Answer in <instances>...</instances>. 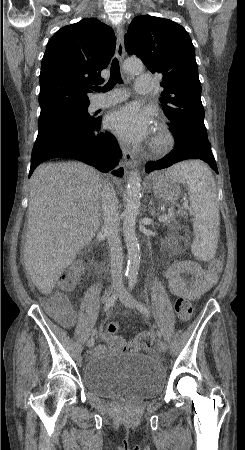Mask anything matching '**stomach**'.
Segmentation results:
<instances>
[{"instance_id": "1", "label": "stomach", "mask_w": 245, "mask_h": 450, "mask_svg": "<svg viewBox=\"0 0 245 450\" xmlns=\"http://www.w3.org/2000/svg\"><path fill=\"white\" fill-rule=\"evenodd\" d=\"M151 183L155 195L165 202H174L181 194L179 181L169 176L167 172L154 175Z\"/></svg>"}]
</instances>
